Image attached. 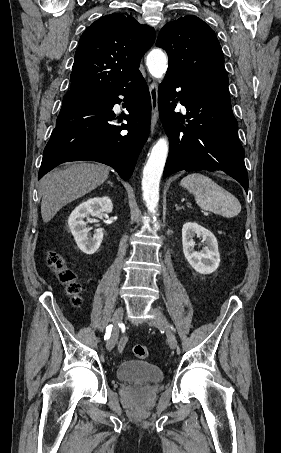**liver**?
Here are the masks:
<instances>
[{
  "instance_id": "6515ba94",
  "label": "liver",
  "mask_w": 281,
  "mask_h": 453,
  "mask_svg": "<svg viewBox=\"0 0 281 453\" xmlns=\"http://www.w3.org/2000/svg\"><path fill=\"white\" fill-rule=\"evenodd\" d=\"M110 166L75 162L65 170L48 172L40 180L41 214L43 222H49L56 212L87 192H91L108 178Z\"/></svg>"
}]
</instances>
